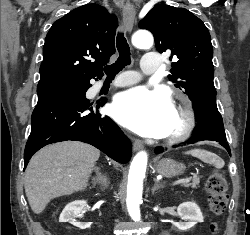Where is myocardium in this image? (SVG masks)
<instances>
[{
    "label": "myocardium",
    "instance_id": "1",
    "mask_svg": "<svg viewBox=\"0 0 250 235\" xmlns=\"http://www.w3.org/2000/svg\"><path fill=\"white\" fill-rule=\"evenodd\" d=\"M181 117V126L178 131L170 136L164 137L161 141L166 145H175L186 141L196 127V114L191 103L183 99L175 108Z\"/></svg>",
    "mask_w": 250,
    "mask_h": 235
}]
</instances>
